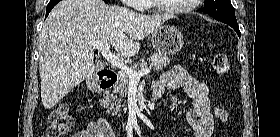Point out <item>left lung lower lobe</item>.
<instances>
[{
    "label": "left lung lower lobe",
    "mask_w": 280,
    "mask_h": 137,
    "mask_svg": "<svg viewBox=\"0 0 280 137\" xmlns=\"http://www.w3.org/2000/svg\"><path fill=\"white\" fill-rule=\"evenodd\" d=\"M224 23H227V22H224ZM228 25H230L235 31L236 33L238 34V36L240 37L241 33L239 31V26L237 23H227Z\"/></svg>",
    "instance_id": "left-lung-lower-lobe-1"
}]
</instances>
